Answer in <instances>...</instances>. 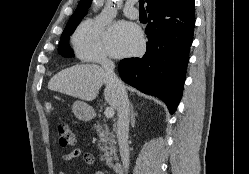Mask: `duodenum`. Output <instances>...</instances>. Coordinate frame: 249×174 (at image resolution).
I'll list each match as a JSON object with an SVG mask.
<instances>
[{
	"label": "duodenum",
	"mask_w": 249,
	"mask_h": 174,
	"mask_svg": "<svg viewBox=\"0 0 249 174\" xmlns=\"http://www.w3.org/2000/svg\"><path fill=\"white\" fill-rule=\"evenodd\" d=\"M112 169L115 174H124L123 167L121 164H114Z\"/></svg>",
	"instance_id": "obj_1"
}]
</instances>
